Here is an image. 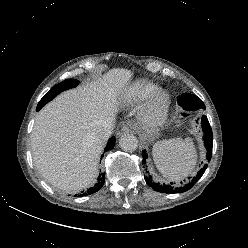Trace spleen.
I'll return each mask as SVG.
<instances>
[{
  "label": "spleen",
  "instance_id": "1",
  "mask_svg": "<svg viewBox=\"0 0 248 248\" xmlns=\"http://www.w3.org/2000/svg\"><path fill=\"white\" fill-rule=\"evenodd\" d=\"M197 153L191 138L163 140L153 146V159L161 174L172 181H180L191 174Z\"/></svg>",
  "mask_w": 248,
  "mask_h": 248
}]
</instances>
